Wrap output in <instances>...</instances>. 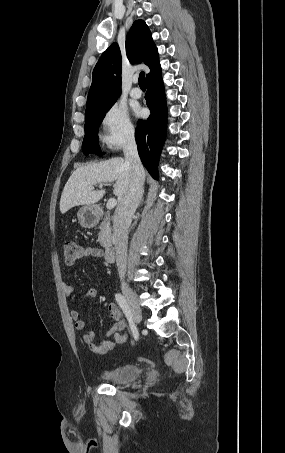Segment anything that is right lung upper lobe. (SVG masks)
I'll list each match as a JSON object with an SVG mask.
<instances>
[{"label":"right lung upper lobe","instance_id":"right-lung-upper-lobe-1","mask_svg":"<svg viewBox=\"0 0 285 453\" xmlns=\"http://www.w3.org/2000/svg\"><path fill=\"white\" fill-rule=\"evenodd\" d=\"M126 53L129 61L144 62L150 73L161 70L157 48L144 20H136L126 37ZM121 94V52L113 43L101 55L92 74V84L87 97L86 112L90 113L115 102Z\"/></svg>","mask_w":285,"mask_h":453}]
</instances>
